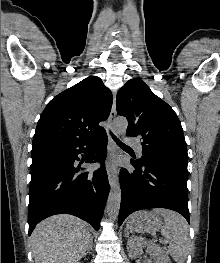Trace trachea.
<instances>
[{"label":"trachea","mask_w":220,"mask_h":263,"mask_svg":"<svg viewBox=\"0 0 220 263\" xmlns=\"http://www.w3.org/2000/svg\"><path fill=\"white\" fill-rule=\"evenodd\" d=\"M112 138L114 139V141L119 145V146H123V147H128L126 146L124 143H122L115 135L111 134Z\"/></svg>","instance_id":"1"}]
</instances>
